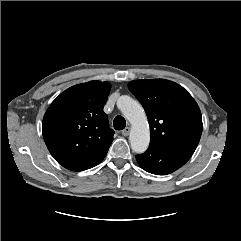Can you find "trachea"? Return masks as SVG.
Wrapping results in <instances>:
<instances>
[{
    "mask_svg": "<svg viewBox=\"0 0 241 241\" xmlns=\"http://www.w3.org/2000/svg\"><path fill=\"white\" fill-rule=\"evenodd\" d=\"M113 125L115 130H122L126 126V121L122 116H116L113 121Z\"/></svg>",
    "mask_w": 241,
    "mask_h": 241,
    "instance_id": "trachea-1",
    "label": "trachea"
}]
</instances>
